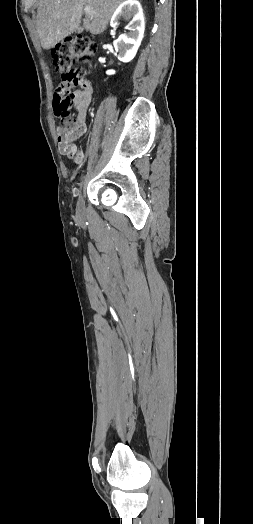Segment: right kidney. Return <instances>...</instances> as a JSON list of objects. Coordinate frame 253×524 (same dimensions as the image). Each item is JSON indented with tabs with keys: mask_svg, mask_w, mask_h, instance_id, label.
<instances>
[{
	"mask_svg": "<svg viewBox=\"0 0 253 524\" xmlns=\"http://www.w3.org/2000/svg\"><path fill=\"white\" fill-rule=\"evenodd\" d=\"M122 18L130 20V32L122 34L114 42V48L120 61L129 62L135 57L144 36L145 22L140 3L136 0H127L122 3L111 18V27H117ZM113 73V70L107 71L109 75Z\"/></svg>",
	"mask_w": 253,
	"mask_h": 524,
	"instance_id": "1",
	"label": "right kidney"
}]
</instances>
